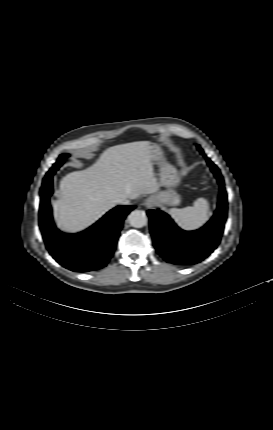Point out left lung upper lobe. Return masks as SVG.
Masks as SVG:
<instances>
[{
    "mask_svg": "<svg viewBox=\"0 0 273 430\" xmlns=\"http://www.w3.org/2000/svg\"><path fill=\"white\" fill-rule=\"evenodd\" d=\"M197 148H198V150L200 151L201 154H204V151L202 150V148L199 145H197Z\"/></svg>",
    "mask_w": 273,
    "mask_h": 430,
    "instance_id": "5c2ea615",
    "label": "left lung upper lobe"
}]
</instances>
